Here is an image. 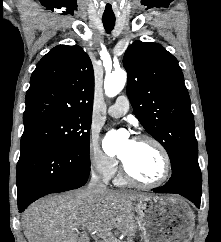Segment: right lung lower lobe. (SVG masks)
Wrapping results in <instances>:
<instances>
[{
    "label": "right lung lower lobe",
    "instance_id": "right-lung-lower-lobe-1",
    "mask_svg": "<svg viewBox=\"0 0 221 242\" xmlns=\"http://www.w3.org/2000/svg\"><path fill=\"white\" fill-rule=\"evenodd\" d=\"M89 175V153L46 140L22 141L17 163L19 212L44 195L83 186Z\"/></svg>",
    "mask_w": 221,
    "mask_h": 242
}]
</instances>
